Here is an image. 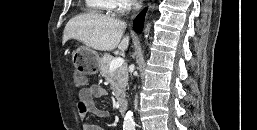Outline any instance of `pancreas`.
<instances>
[{"mask_svg":"<svg viewBox=\"0 0 257 130\" xmlns=\"http://www.w3.org/2000/svg\"><path fill=\"white\" fill-rule=\"evenodd\" d=\"M114 59L110 54H105L99 62L101 76L111 84L114 96L117 100H121L125 96V89L128 84L127 66L123 64L114 71H110V63Z\"/></svg>","mask_w":257,"mask_h":130,"instance_id":"1","label":"pancreas"}]
</instances>
